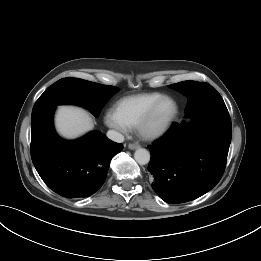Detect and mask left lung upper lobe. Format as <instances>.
I'll use <instances>...</instances> for the list:
<instances>
[{
	"instance_id": "left-lung-upper-lobe-1",
	"label": "left lung upper lobe",
	"mask_w": 261,
	"mask_h": 261,
	"mask_svg": "<svg viewBox=\"0 0 261 261\" xmlns=\"http://www.w3.org/2000/svg\"><path fill=\"white\" fill-rule=\"evenodd\" d=\"M169 87L188 98L185 113L192 119L199 115L228 112L220 94L208 83L189 80Z\"/></svg>"
}]
</instances>
